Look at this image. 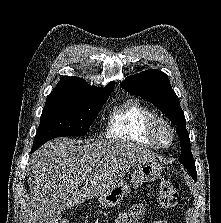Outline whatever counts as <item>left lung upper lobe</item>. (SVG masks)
Returning a JSON list of instances; mask_svg holds the SVG:
<instances>
[{
	"mask_svg": "<svg viewBox=\"0 0 221 223\" xmlns=\"http://www.w3.org/2000/svg\"><path fill=\"white\" fill-rule=\"evenodd\" d=\"M120 84L127 92L150 101L176 125L181 146L179 161L196 181L197 173L190 149L185 116L179 105L178 97L170 85L168 76L159 70L151 69L127 77Z\"/></svg>",
	"mask_w": 221,
	"mask_h": 223,
	"instance_id": "left-lung-upper-lobe-1",
	"label": "left lung upper lobe"
}]
</instances>
